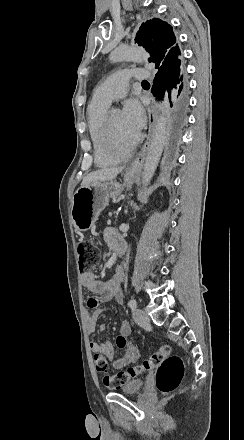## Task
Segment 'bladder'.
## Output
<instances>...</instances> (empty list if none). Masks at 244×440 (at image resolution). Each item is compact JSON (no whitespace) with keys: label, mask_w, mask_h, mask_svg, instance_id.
I'll return each mask as SVG.
<instances>
[{"label":"bladder","mask_w":244,"mask_h":440,"mask_svg":"<svg viewBox=\"0 0 244 440\" xmlns=\"http://www.w3.org/2000/svg\"><path fill=\"white\" fill-rule=\"evenodd\" d=\"M144 380L132 379L129 384L120 387V392L124 394H137L144 387Z\"/></svg>","instance_id":"1"}]
</instances>
